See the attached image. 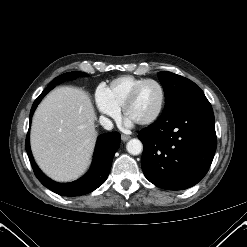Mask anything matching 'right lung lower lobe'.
<instances>
[{
	"mask_svg": "<svg viewBox=\"0 0 247 247\" xmlns=\"http://www.w3.org/2000/svg\"><path fill=\"white\" fill-rule=\"evenodd\" d=\"M53 88L54 85H49L35 100L30 111V122L37 105ZM119 146L120 134L118 132H110L99 136L89 172L77 181L63 184L51 180L38 168L31 153L29 133L25 143L26 151L36 177L45 187L62 196L84 195L101 186L108 177L114 154Z\"/></svg>",
	"mask_w": 247,
	"mask_h": 247,
	"instance_id": "98d812e1",
	"label": "right lung lower lobe"
}]
</instances>
